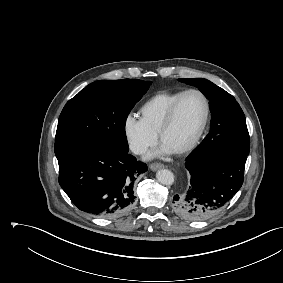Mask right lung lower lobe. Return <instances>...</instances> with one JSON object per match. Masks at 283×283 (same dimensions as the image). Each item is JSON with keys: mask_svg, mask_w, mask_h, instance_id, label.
<instances>
[{"mask_svg": "<svg viewBox=\"0 0 283 283\" xmlns=\"http://www.w3.org/2000/svg\"><path fill=\"white\" fill-rule=\"evenodd\" d=\"M59 184L80 210L99 217L127 213L134 181L147 170L128 151L107 144L80 147L58 159Z\"/></svg>", "mask_w": 283, "mask_h": 283, "instance_id": "1", "label": "right lung lower lobe"}]
</instances>
